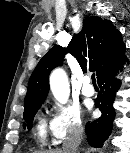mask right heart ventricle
I'll list each match as a JSON object with an SVG mask.
<instances>
[{
    "label": "right heart ventricle",
    "mask_w": 130,
    "mask_h": 153,
    "mask_svg": "<svg viewBox=\"0 0 130 153\" xmlns=\"http://www.w3.org/2000/svg\"><path fill=\"white\" fill-rule=\"evenodd\" d=\"M36 136L37 139L44 143L47 138V130H46V120L45 118H40L36 125Z\"/></svg>",
    "instance_id": "right-heart-ventricle-1"
}]
</instances>
